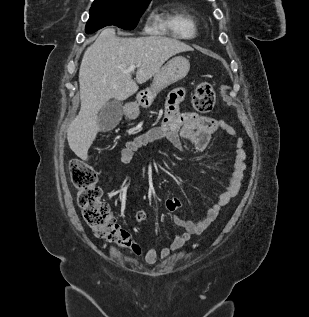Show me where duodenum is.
Instances as JSON below:
<instances>
[{"instance_id": "duodenum-1", "label": "duodenum", "mask_w": 309, "mask_h": 317, "mask_svg": "<svg viewBox=\"0 0 309 317\" xmlns=\"http://www.w3.org/2000/svg\"><path fill=\"white\" fill-rule=\"evenodd\" d=\"M128 112L130 111V108H128V110H127Z\"/></svg>"}]
</instances>
